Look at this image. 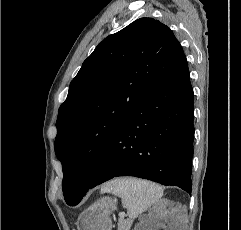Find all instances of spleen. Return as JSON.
<instances>
[{"instance_id":"spleen-1","label":"spleen","mask_w":241,"mask_h":230,"mask_svg":"<svg viewBox=\"0 0 241 230\" xmlns=\"http://www.w3.org/2000/svg\"><path fill=\"white\" fill-rule=\"evenodd\" d=\"M101 193H112L120 197L129 218L135 219L162 197L163 190L150 181L121 178L104 184Z\"/></svg>"}]
</instances>
